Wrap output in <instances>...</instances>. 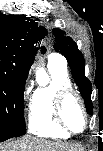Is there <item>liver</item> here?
Listing matches in <instances>:
<instances>
[{
  "mask_svg": "<svg viewBox=\"0 0 103 151\" xmlns=\"http://www.w3.org/2000/svg\"><path fill=\"white\" fill-rule=\"evenodd\" d=\"M1 151H82L81 148L65 143L54 142L26 135L15 142H9L0 147Z\"/></svg>",
  "mask_w": 103,
  "mask_h": 151,
  "instance_id": "obj_1",
  "label": "liver"
}]
</instances>
